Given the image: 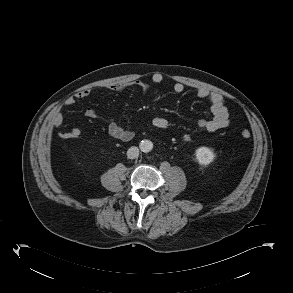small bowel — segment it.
<instances>
[{"label": "small bowel", "mask_w": 293, "mask_h": 293, "mask_svg": "<svg viewBox=\"0 0 293 293\" xmlns=\"http://www.w3.org/2000/svg\"><path fill=\"white\" fill-rule=\"evenodd\" d=\"M163 82V76L160 73H154L151 77V81L145 79H136L132 84L138 87L143 93H149L151 89V84H161ZM126 84L114 83L107 86V90L113 92H122L126 88ZM184 85L182 83L176 82L173 85V91L177 94L184 92ZM91 91L89 89H84L77 92L74 96L68 98L66 101V106H71L75 104L76 101L87 98L90 95ZM196 96L199 99L208 101L210 105V111L212 117L210 119H202L198 122V127L207 132H215L219 129H222L229 124L230 116L228 109L225 105L224 98L221 94L216 92H211L207 89L201 88L196 91ZM84 115L88 118H98L102 119L107 123V132L108 134L120 141L127 142L130 141L134 133L131 130L123 128L119 125L116 120L112 117H102L98 112L88 107L84 111ZM64 117L61 108H57L49 115L48 123L51 127H60L63 124ZM153 126L159 130H165L169 127V123L165 118L157 117L153 120ZM63 139H76L81 135V129L75 127L70 131L63 132L59 134ZM183 141L188 142L191 140V136L185 134L182 136Z\"/></svg>", "instance_id": "c3829d8e"}]
</instances>
